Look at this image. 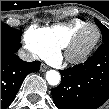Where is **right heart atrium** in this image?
Wrapping results in <instances>:
<instances>
[{
    "label": "right heart atrium",
    "instance_id": "d8ad5b80",
    "mask_svg": "<svg viewBox=\"0 0 109 109\" xmlns=\"http://www.w3.org/2000/svg\"><path fill=\"white\" fill-rule=\"evenodd\" d=\"M25 47L27 50L35 57V58H45L47 56H50V51L42 44L31 40L24 38Z\"/></svg>",
    "mask_w": 109,
    "mask_h": 109
}]
</instances>
